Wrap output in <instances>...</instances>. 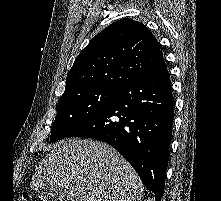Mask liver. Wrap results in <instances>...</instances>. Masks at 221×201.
I'll return each instance as SVG.
<instances>
[{
    "label": "liver",
    "instance_id": "liver-1",
    "mask_svg": "<svg viewBox=\"0 0 221 201\" xmlns=\"http://www.w3.org/2000/svg\"><path fill=\"white\" fill-rule=\"evenodd\" d=\"M55 185L66 201H140L142 182L119 152L88 139L63 140L40 162L33 190Z\"/></svg>",
    "mask_w": 221,
    "mask_h": 201
}]
</instances>
